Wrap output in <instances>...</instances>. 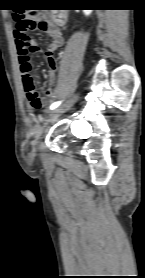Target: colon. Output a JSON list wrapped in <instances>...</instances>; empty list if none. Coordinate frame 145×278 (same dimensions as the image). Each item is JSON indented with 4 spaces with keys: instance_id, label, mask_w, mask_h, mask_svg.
Wrapping results in <instances>:
<instances>
[{
    "instance_id": "1",
    "label": "colon",
    "mask_w": 145,
    "mask_h": 278,
    "mask_svg": "<svg viewBox=\"0 0 145 278\" xmlns=\"http://www.w3.org/2000/svg\"><path fill=\"white\" fill-rule=\"evenodd\" d=\"M48 26V20L46 18L36 19H22L16 23L15 34L19 40L17 45L19 54H29L37 50V47L33 44L29 37L22 36L21 34L26 30L42 31ZM50 56V55H49ZM31 64L28 63L22 67V70L26 73L24 77V88L27 94L28 102L33 109H41L44 106L43 99L40 95L38 85L36 83L35 76L29 72Z\"/></svg>"
}]
</instances>
